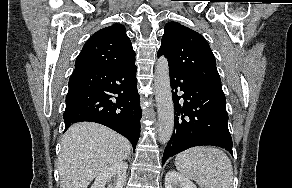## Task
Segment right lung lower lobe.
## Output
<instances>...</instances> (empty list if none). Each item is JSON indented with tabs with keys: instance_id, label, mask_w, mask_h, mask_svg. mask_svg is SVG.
I'll list each match as a JSON object with an SVG mask.
<instances>
[{
	"instance_id": "98d812e1",
	"label": "right lung lower lobe",
	"mask_w": 292,
	"mask_h": 188,
	"mask_svg": "<svg viewBox=\"0 0 292 188\" xmlns=\"http://www.w3.org/2000/svg\"><path fill=\"white\" fill-rule=\"evenodd\" d=\"M136 70L135 63L124 67H75L66 96L65 131L80 121L100 123L126 137L135 149L142 117Z\"/></svg>"
}]
</instances>
